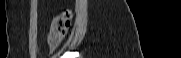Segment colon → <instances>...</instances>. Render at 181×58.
<instances>
[{"label": "colon", "mask_w": 181, "mask_h": 58, "mask_svg": "<svg viewBox=\"0 0 181 58\" xmlns=\"http://www.w3.org/2000/svg\"><path fill=\"white\" fill-rule=\"evenodd\" d=\"M70 20L69 12L62 13L54 18L49 35V44L52 47H56L62 42L70 28Z\"/></svg>", "instance_id": "colon-1"}]
</instances>
